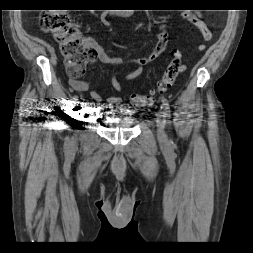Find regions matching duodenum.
Segmentation results:
<instances>
[{
    "instance_id": "duodenum-1",
    "label": "duodenum",
    "mask_w": 253,
    "mask_h": 253,
    "mask_svg": "<svg viewBox=\"0 0 253 253\" xmlns=\"http://www.w3.org/2000/svg\"><path fill=\"white\" fill-rule=\"evenodd\" d=\"M113 14L118 17H126L129 14V12L128 11H117V12H114Z\"/></svg>"
}]
</instances>
